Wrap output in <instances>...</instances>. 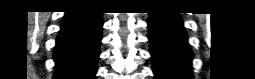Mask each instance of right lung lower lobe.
Here are the masks:
<instances>
[{
	"instance_id": "obj_1",
	"label": "right lung lower lobe",
	"mask_w": 255,
	"mask_h": 79,
	"mask_svg": "<svg viewBox=\"0 0 255 79\" xmlns=\"http://www.w3.org/2000/svg\"><path fill=\"white\" fill-rule=\"evenodd\" d=\"M102 25L100 12H66L54 51V79H95Z\"/></svg>"
}]
</instances>
